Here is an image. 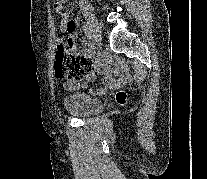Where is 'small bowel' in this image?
<instances>
[{"mask_svg": "<svg viewBox=\"0 0 207 179\" xmlns=\"http://www.w3.org/2000/svg\"><path fill=\"white\" fill-rule=\"evenodd\" d=\"M61 28L70 32V44L71 48H76V35H75V24L72 20L67 17L61 19ZM89 63L92 67V72L89 76V80H94V74L96 72L102 73L104 78L102 80V85L95 87L92 91L96 94H105L108 90L117 88L125 83V78L123 77L122 70L119 66L114 64L107 56L100 55L97 57H88ZM69 85L68 87H72Z\"/></svg>", "mask_w": 207, "mask_h": 179, "instance_id": "c3829d8e", "label": "small bowel"}]
</instances>
